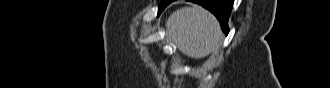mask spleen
I'll return each instance as SVG.
<instances>
[{
  "mask_svg": "<svg viewBox=\"0 0 330 88\" xmlns=\"http://www.w3.org/2000/svg\"><path fill=\"white\" fill-rule=\"evenodd\" d=\"M167 40L192 58H203L219 47L221 30L217 19L200 6L176 10L166 21Z\"/></svg>",
  "mask_w": 330,
  "mask_h": 88,
  "instance_id": "3e777b00",
  "label": "spleen"
}]
</instances>
